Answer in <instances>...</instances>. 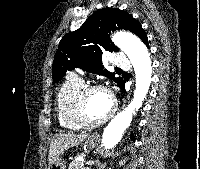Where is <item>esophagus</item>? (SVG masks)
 Wrapping results in <instances>:
<instances>
[{
	"instance_id": "1",
	"label": "esophagus",
	"mask_w": 200,
	"mask_h": 169,
	"mask_svg": "<svg viewBox=\"0 0 200 169\" xmlns=\"http://www.w3.org/2000/svg\"><path fill=\"white\" fill-rule=\"evenodd\" d=\"M128 97H129V94L127 95V98H128ZM125 103H126V100L124 101V104H123V106H122V107H124V106H125ZM93 136H94V137H97V136H98V134H96V133H95V134H93Z\"/></svg>"
}]
</instances>
